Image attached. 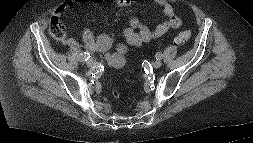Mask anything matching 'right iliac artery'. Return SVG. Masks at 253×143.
Masks as SVG:
<instances>
[{
    "instance_id": "right-iliac-artery-1",
    "label": "right iliac artery",
    "mask_w": 253,
    "mask_h": 143,
    "mask_svg": "<svg viewBox=\"0 0 253 143\" xmlns=\"http://www.w3.org/2000/svg\"><path fill=\"white\" fill-rule=\"evenodd\" d=\"M91 54L89 52H82L80 54V61H87L88 59H90Z\"/></svg>"
}]
</instances>
